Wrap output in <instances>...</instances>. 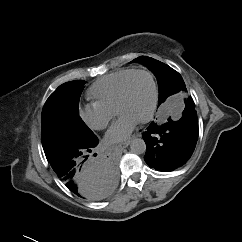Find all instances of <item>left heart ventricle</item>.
Returning <instances> with one entry per match:
<instances>
[{
  "label": "left heart ventricle",
  "instance_id": "1",
  "mask_svg": "<svg viewBox=\"0 0 242 242\" xmlns=\"http://www.w3.org/2000/svg\"><path fill=\"white\" fill-rule=\"evenodd\" d=\"M152 102V84L145 74L133 76L129 82L124 102L120 106L119 115H128L137 121L144 118Z\"/></svg>",
  "mask_w": 242,
  "mask_h": 242
}]
</instances>
